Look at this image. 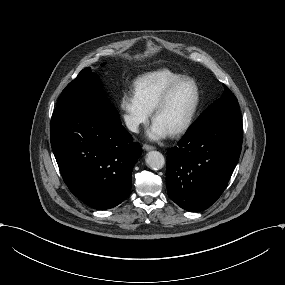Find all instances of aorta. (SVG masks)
Returning <instances> with one entry per match:
<instances>
[{
	"instance_id": "762f6f07",
	"label": "aorta",
	"mask_w": 285,
	"mask_h": 285,
	"mask_svg": "<svg viewBox=\"0 0 285 285\" xmlns=\"http://www.w3.org/2000/svg\"><path fill=\"white\" fill-rule=\"evenodd\" d=\"M147 165L153 170L162 169L165 164L164 156L158 151H150L146 156Z\"/></svg>"
}]
</instances>
